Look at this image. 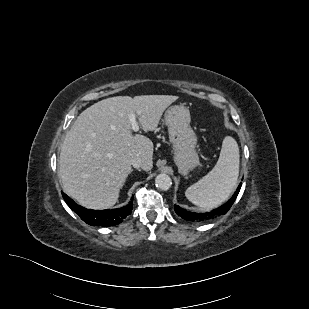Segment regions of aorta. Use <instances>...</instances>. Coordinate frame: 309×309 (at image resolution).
Masks as SVG:
<instances>
[{
    "mask_svg": "<svg viewBox=\"0 0 309 309\" xmlns=\"http://www.w3.org/2000/svg\"><path fill=\"white\" fill-rule=\"evenodd\" d=\"M155 185L160 190L167 191L172 186V180L169 175L162 173L156 176Z\"/></svg>",
    "mask_w": 309,
    "mask_h": 309,
    "instance_id": "obj_1",
    "label": "aorta"
}]
</instances>
